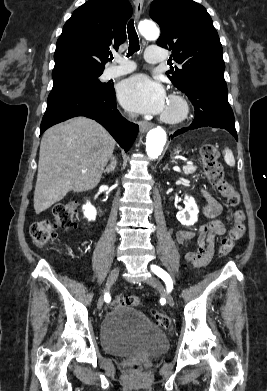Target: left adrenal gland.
I'll return each instance as SVG.
<instances>
[{
	"instance_id": "1",
	"label": "left adrenal gland",
	"mask_w": 267,
	"mask_h": 391,
	"mask_svg": "<svg viewBox=\"0 0 267 391\" xmlns=\"http://www.w3.org/2000/svg\"><path fill=\"white\" fill-rule=\"evenodd\" d=\"M167 169H169V168H168V164L165 165V167L163 168V170H167Z\"/></svg>"
}]
</instances>
